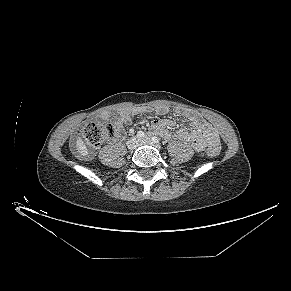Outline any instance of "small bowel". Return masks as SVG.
Segmentation results:
<instances>
[{
  "label": "small bowel",
  "instance_id": "small-bowel-1",
  "mask_svg": "<svg viewBox=\"0 0 291 291\" xmlns=\"http://www.w3.org/2000/svg\"><path fill=\"white\" fill-rule=\"evenodd\" d=\"M132 111L129 109H121L118 116L121 121L128 122L132 118ZM136 115V112H134ZM110 114H101L102 119H109ZM192 131L189 133L187 129L180 128L177 132H170L168 129L176 125L173 119H156L152 121V128L160 133L167 140H179L189 144V146L197 153L203 152L205 149L217 147L219 145V137L215 129H213L202 117L198 115H189Z\"/></svg>",
  "mask_w": 291,
  "mask_h": 291
}]
</instances>
